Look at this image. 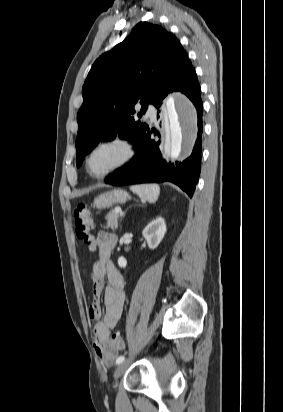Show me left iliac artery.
<instances>
[{
  "label": "left iliac artery",
  "instance_id": "left-iliac-artery-1",
  "mask_svg": "<svg viewBox=\"0 0 283 412\" xmlns=\"http://www.w3.org/2000/svg\"><path fill=\"white\" fill-rule=\"evenodd\" d=\"M124 360H125V357H124V356H119V357L116 359V364H120V363H122Z\"/></svg>",
  "mask_w": 283,
  "mask_h": 412
}]
</instances>
